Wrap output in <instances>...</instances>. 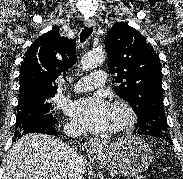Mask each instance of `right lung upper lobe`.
Masks as SVG:
<instances>
[{
  "mask_svg": "<svg viewBox=\"0 0 183 179\" xmlns=\"http://www.w3.org/2000/svg\"><path fill=\"white\" fill-rule=\"evenodd\" d=\"M75 40L60 37L52 29L38 37L23 58L19 76V99L55 95V79L76 63Z\"/></svg>",
  "mask_w": 183,
  "mask_h": 179,
  "instance_id": "right-lung-upper-lobe-1",
  "label": "right lung upper lobe"
}]
</instances>
